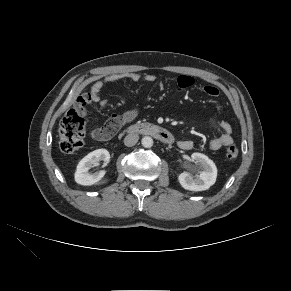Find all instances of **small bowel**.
<instances>
[{"label": "small bowel", "mask_w": 291, "mask_h": 291, "mask_svg": "<svg viewBox=\"0 0 291 291\" xmlns=\"http://www.w3.org/2000/svg\"><path fill=\"white\" fill-rule=\"evenodd\" d=\"M123 79H129L134 82H138L140 80H144L146 82H154L156 77L153 74H145L141 75L137 72H124L111 74L103 79L97 80L91 87L89 96L91 101L94 103H98L101 108L105 107L107 101L105 99H101L100 94L102 89L108 85L116 83ZM177 84L180 91L186 90L194 85V79L190 76L181 75L177 78ZM203 91L209 96H217L219 91L217 87L212 85H206L203 87ZM137 115V109L132 108L129 111L125 112L122 115H116L121 121V126L127 122L132 121ZM213 126L221 131V134L212 139L209 142V147L212 150H219L222 147L229 146L233 143V138L231 136L232 128L228 122H219L213 123ZM91 136L96 140H106L111 137V135L106 130V124L103 127L96 128L92 130ZM177 146L182 150H190L193 148V142L190 140H180L177 143Z\"/></svg>", "instance_id": "obj_1"}]
</instances>
